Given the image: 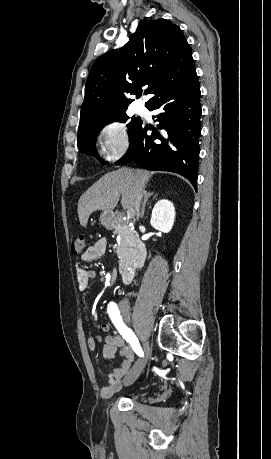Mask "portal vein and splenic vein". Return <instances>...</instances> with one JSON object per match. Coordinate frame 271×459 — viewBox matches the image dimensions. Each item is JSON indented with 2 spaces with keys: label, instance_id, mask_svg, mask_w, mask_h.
Here are the masks:
<instances>
[{
  "label": "portal vein and splenic vein",
  "instance_id": "1",
  "mask_svg": "<svg viewBox=\"0 0 271 459\" xmlns=\"http://www.w3.org/2000/svg\"><path fill=\"white\" fill-rule=\"evenodd\" d=\"M132 214H133V210H127L128 218H131Z\"/></svg>",
  "mask_w": 271,
  "mask_h": 459
}]
</instances>
